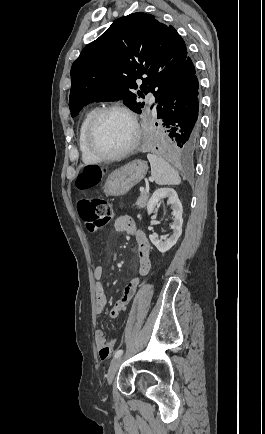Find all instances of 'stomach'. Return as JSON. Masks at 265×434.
<instances>
[{
    "label": "stomach",
    "mask_w": 265,
    "mask_h": 434,
    "mask_svg": "<svg viewBox=\"0 0 265 434\" xmlns=\"http://www.w3.org/2000/svg\"><path fill=\"white\" fill-rule=\"evenodd\" d=\"M148 166L144 160H133L126 166L118 168L109 174L105 184L104 192L108 196H124L135 184L141 182L146 176Z\"/></svg>",
    "instance_id": "0dacf381"
}]
</instances>
